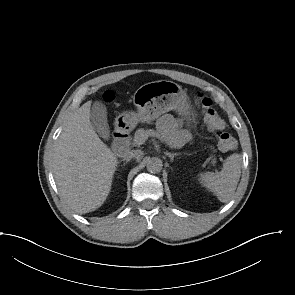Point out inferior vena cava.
<instances>
[{
  "instance_id": "obj_1",
  "label": "inferior vena cava",
  "mask_w": 295,
  "mask_h": 295,
  "mask_svg": "<svg viewBox=\"0 0 295 295\" xmlns=\"http://www.w3.org/2000/svg\"><path fill=\"white\" fill-rule=\"evenodd\" d=\"M143 155V151L141 150H131L127 153L125 158H136V159H140Z\"/></svg>"
}]
</instances>
